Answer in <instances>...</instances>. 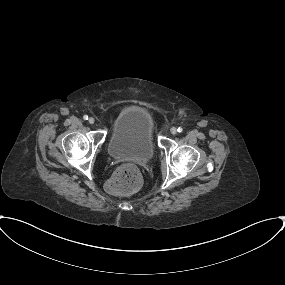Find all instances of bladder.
I'll use <instances>...</instances> for the list:
<instances>
[{
    "mask_svg": "<svg viewBox=\"0 0 285 285\" xmlns=\"http://www.w3.org/2000/svg\"><path fill=\"white\" fill-rule=\"evenodd\" d=\"M108 152L117 159L150 160L155 153L153 123L144 106L129 108L112 126Z\"/></svg>",
    "mask_w": 285,
    "mask_h": 285,
    "instance_id": "31cf9c89",
    "label": "bladder"
}]
</instances>
